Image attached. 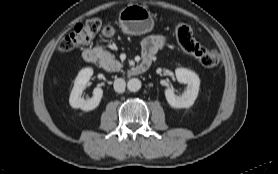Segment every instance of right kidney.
Returning a JSON list of instances; mask_svg holds the SVG:
<instances>
[{
    "mask_svg": "<svg viewBox=\"0 0 278 174\" xmlns=\"http://www.w3.org/2000/svg\"><path fill=\"white\" fill-rule=\"evenodd\" d=\"M92 75V68H84L79 72L78 76L75 79L74 87L70 94L69 103L71 107L80 108L84 111H90L95 109L99 105L103 95V90L99 87H96L93 90L92 98L85 100L82 97L83 90L86 88V85L89 82Z\"/></svg>",
    "mask_w": 278,
    "mask_h": 174,
    "instance_id": "ca27d5eb",
    "label": "right kidney"
}]
</instances>
